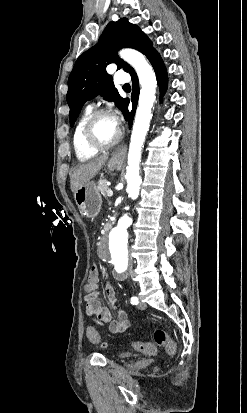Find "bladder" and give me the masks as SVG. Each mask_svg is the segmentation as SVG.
<instances>
[{
  "label": "bladder",
  "mask_w": 247,
  "mask_h": 413,
  "mask_svg": "<svg viewBox=\"0 0 247 413\" xmlns=\"http://www.w3.org/2000/svg\"><path fill=\"white\" fill-rule=\"evenodd\" d=\"M131 355V353L130 352H123V353H120V356L121 357H128V356H130Z\"/></svg>",
  "instance_id": "1"
}]
</instances>
